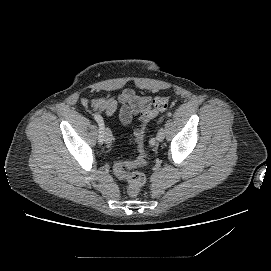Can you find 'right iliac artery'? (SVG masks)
I'll use <instances>...</instances> for the list:
<instances>
[{
    "label": "right iliac artery",
    "mask_w": 271,
    "mask_h": 271,
    "mask_svg": "<svg viewBox=\"0 0 271 271\" xmlns=\"http://www.w3.org/2000/svg\"><path fill=\"white\" fill-rule=\"evenodd\" d=\"M94 119L96 120V122L99 125V136H98V139H99V143L102 144L103 140H104V138H103L104 137V123H103V119L98 114H94Z\"/></svg>",
    "instance_id": "obj_1"
}]
</instances>
